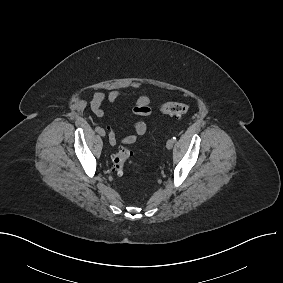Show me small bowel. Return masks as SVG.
<instances>
[{"label": "small bowel", "instance_id": "obj_1", "mask_svg": "<svg viewBox=\"0 0 283 283\" xmlns=\"http://www.w3.org/2000/svg\"><path fill=\"white\" fill-rule=\"evenodd\" d=\"M120 90H111L108 94H104L102 92H95L90 100V107L92 112L97 117H102L104 115V110L102 108V104L105 100H107L111 104H115L117 100L121 97ZM151 101L147 96L139 97L132 107V114L135 116L146 117L151 115ZM134 133L130 134L122 139V143L124 144H133L135 143L139 137L143 136L147 132V124L143 121H136L133 125ZM109 132V143L112 146H115L117 143L116 136L111 127H107Z\"/></svg>", "mask_w": 283, "mask_h": 283}]
</instances>
